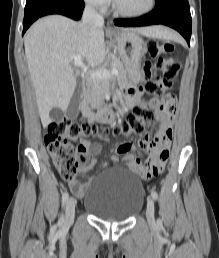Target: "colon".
Segmentation results:
<instances>
[{
	"mask_svg": "<svg viewBox=\"0 0 219 258\" xmlns=\"http://www.w3.org/2000/svg\"><path fill=\"white\" fill-rule=\"evenodd\" d=\"M148 54L156 59L160 75L149 79L144 85L146 94L162 97L172 88L179 69L178 59L172 55L173 46L155 40L146 43ZM155 118L154 112L144 103L133 107L125 120L114 124L110 129L100 131L90 122H75L67 118L52 121L46 130L45 145L59 174L65 180L75 178L78 169V158L81 155V145L78 141L86 140L99 133L112 132L114 135L129 136L132 134L145 138V125Z\"/></svg>",
	"mask_w": 219,
	"mask_h": 258,
	"instance_id": "obj_1",
	"label": "colon"
}]
</instances>
